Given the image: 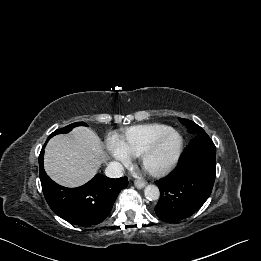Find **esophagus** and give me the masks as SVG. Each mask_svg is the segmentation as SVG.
<instances>
[{
	"label": "esophagus",
	"mask_w": 261,
	"mask_h": 261,
	"mask_svg": "<svg viewBox=\"0 0 261 261\" xmlns=\"http://www.w3.org/2000/svg\"><path fill=\"white\" fill-rule=\"evenodd\" d=\"M134 185H135V187L137 189H142V188L145 187L146 183L145 182H140V181H135Z\"/></svg>",
	"instance_id": "esophagus-1"
}]
</instances>
